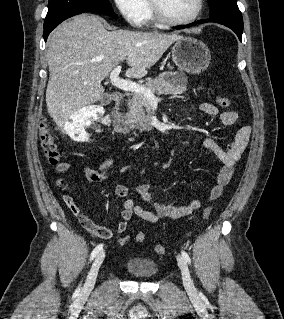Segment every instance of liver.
Returning <instances> with one entry per match:
<instances>
[{
  "instance_id": "obj_1",
  "label": "liver",
  "mask_w": 284,
  "mask_h": 319,
  "mask_svg": "<svg viewBox=\"0 0 284 319\" xmlns=\"http://www.w3.org/2000/svg\"><path fill=\"white\" fill-rule=\"evenodd\" d=\"M181 38L158 31H108L99 17L89 14L61 23L48 41V113L63 126L77 110L101 100L102 80L121 61L130 67L127 77L142 78Z\"/></svg>"
}]
</instances>
